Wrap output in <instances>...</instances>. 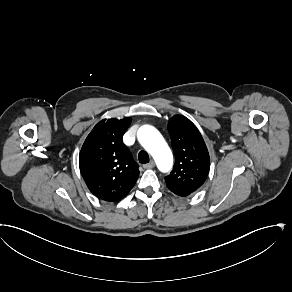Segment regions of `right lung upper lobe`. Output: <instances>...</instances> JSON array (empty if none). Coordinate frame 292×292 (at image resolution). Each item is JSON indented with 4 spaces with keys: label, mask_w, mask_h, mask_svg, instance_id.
Listing matches in <instances>:
<instances>
[{
    "label": "right lung upper lobe",
    "mask_w": 292,
    "mask_h": 292,
    "mask_svg": "<svg viewBox=\"0 0 292 292\" xmlns=\"http://www.w3.org/2000/svg\"><path fill=\"white\" fill-rule=\"evenodd\" d=\"M131 118L98 122L87 136L79 155V168L89 190L99 199L124 198L139 176V166L123 144Z\"/></svg>",
    "instance_id": "1"
}]
</instances>
